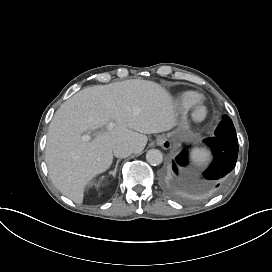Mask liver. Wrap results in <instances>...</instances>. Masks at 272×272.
Returning a JSON list of instances; mask_svg holds the SVG:
<instances>
[{
	"mask_svg": "<svg viewBox=\"0 0 272 272\" xmlns=\"http://www.w3.org/2000/svg\"><path fill=\"white\" fill-rule=\"evenodd\" d=\"M174 125L171 98L153 82L127 80L82 89L61 105L49 126L45 159L52 183L82 204L87 184L110 168L116 145L126 142L139 153L146 134ZM85 131L96 134L83 141Z\"/></svg>",
	"mask_w": 272,
	"mask_h": 272,
	"instance_id": "6515ba94",
	"label": "liver"
}]
</instances>
